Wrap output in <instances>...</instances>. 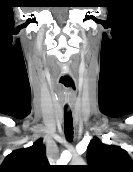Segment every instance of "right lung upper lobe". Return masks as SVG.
<instances>
[{
	"label": "right lung upper lobe",
	"instance_id": "obj_1",
	"mask_svg": "<svg viewBox=\"0 0 133 172\" xmlns=\"http://www.w3.org/2000/svg\"><path fill=\"white\" fill-rule=\"evenodd\" d=\"M0 172H51L42 140L6 156L0 165Z\"/></svg>",
	"mask_w": 133,
	"mask_h": 172
}]
</instances>
